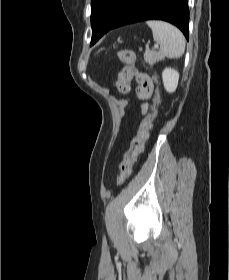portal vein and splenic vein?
Segmentation results:
<instances>
[{"label":"portal vein and splenic vein","mask_w":229,"mask_h":280,"mask_svg":"<svg viewBox=\"0 0 229 280\" xmlns=\"http://www.w3.org/2000/svg\"><path fill=\"white\" fill-rule=\"evenodd\" d=\"M154 47H156V48H157V47H158V45H155Z\"/></svg>","instance_id":"1"}]
</instances>
